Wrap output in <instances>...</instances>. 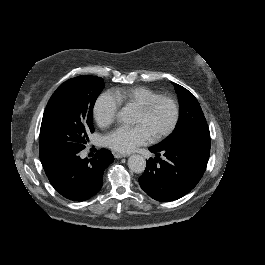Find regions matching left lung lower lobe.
I'll return each instance as SVG.
<instances>
[{"instance_id":"1","label":"left lung lower lobe","mask_w":265,"mask_h":265,"mask_svg":"<svg viewBox=\"0 0 265 265\" xmlns=\"http://www.w3.org/2000/svg\"><path fill=\"white\" fill-rule=\"evenodd\" d=\"M156 158L147 161L139 184L153 199L163 202L179 199L199 182L207 166L210 138H189L177 144L150 147ZM160 152L165 160H160Z\"/></svg>"}]
</instances>
